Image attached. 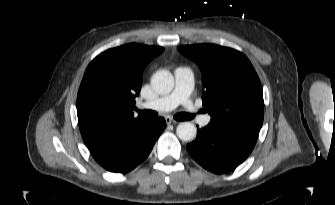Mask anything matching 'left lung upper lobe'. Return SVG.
<instances>
[{"mask_svg": "<svg viewBox=\"0 0 335 205\" xmlns=\"http://www.w3.org/2000/svg\"><path fill=\"white\" fill-rule=\"evenodd\" d=\"M202 72L203 106L210 123L258 138L263 123L261 82L241 52L214 44L178 47Z\"/></svg>", "mask_w": 335, "mask_h": 205, "instance_id": "left-lung-upper-lobe-1", "label": "left lung upper lobe"}]
</instances>
